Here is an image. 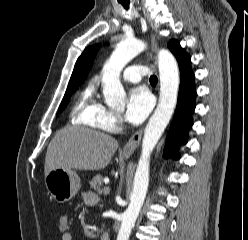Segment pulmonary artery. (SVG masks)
Listing matches in <instances>:
<instances>
[{"label":"pulmonary artery","mask_w":248,"mask_h":240,"mask_svg":"<svg viewBox=\"0 0 248 240\" xmlns=\"http://www.w3.org/2000/svg\"><path fill=\"white\" fill-rule=\"evenodd\" d=\"M148 74V71L143 69L140 65H133L127 67L123 73L122 77L124 80L132 83H137L141 81L143 76H146Z\"/></svg>","instance_id":"pulmonary-artery-1"}]
</instances>
